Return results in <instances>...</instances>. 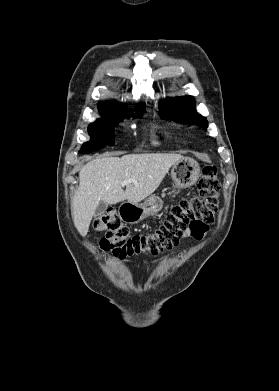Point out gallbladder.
I'll use <instances>...</instances> for the list:
<instances>
[{"label":"gallbladder","instance_id":"obj_1","mask_svg":"<svg viewBox=\"0 0 279 391\" xmlns=\"http://www.w3.org/2000/svg\"><path fill=\"white\" fill-rule=\"evenodd\" d=\"M107 208H108V204L104 201H100V203L98 204V206L95 210L94 216L98 217V216L103 215L105 213V211L107 210Z\"/></svg>","mask_w":279,"mask_h":391}]
</instances>
